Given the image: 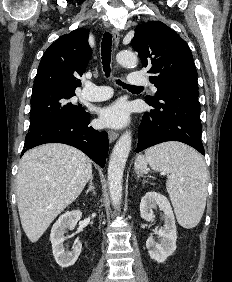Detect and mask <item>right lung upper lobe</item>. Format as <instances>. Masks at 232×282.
I'll use <instances>...</instances> for the list:
<instances>
[{
	"label": "right lung upper lobe",
	"mask_w": 232,
	"mask_h": 282,
	"mask_svg": "<svg viewBox=\"0 0 232 282\" xmlns=\"http://www.w3.org/2000/svg\"><path fill=\"white\" fill-rule=\"evenodd\" d=\"M89 31L79 28L59 37L44 53L34 80L33 91L74 90L81 86L76 78L85 72L92 49ZM32 91V92H33Z\"/></svg>",
	"instance_id": "obj_1"
}]
</instances>
